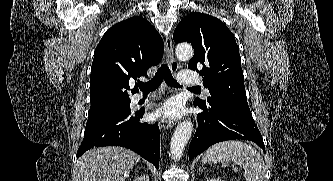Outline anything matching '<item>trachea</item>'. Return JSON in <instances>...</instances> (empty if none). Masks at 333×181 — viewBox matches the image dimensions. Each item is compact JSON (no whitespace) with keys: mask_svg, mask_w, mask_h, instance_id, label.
I'll use <instances>...</instances> for the list:
<instances>
[{"mask_svg":"<svg viewBox=\"0 0 333 181\" xmlns=\"http://www.w3.org/2000/svg\"><path fill=\"white\" fill-rule=\"evenodd\" d=\"M165 80L166 84L171 87H181L177 81L173 78L171 71L167 64H163L158 71L156 72L155 76L149 80L146 83L138 84L139 89L145 93L156 90L162 83V81ZM190 89H196L199 90L198 87H190Z\"/></svg>","mask_w":333,"mask_h":181,"instance_id":"trachea-1","label":"trachea"}]
</instances>
